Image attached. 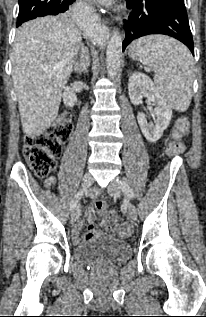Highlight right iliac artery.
Instances as JSON below:
<instances>
[{
    "label": "right iliac artery",
    "instance_id": "right-iliac-artery-1",
    "mask_svg": "<svg viewBox=\"0 0 206 317\" xmlns=\"http://www.w3.org/2000/svg\"><path fill=\"white\" fill-rule=\"evenodd\" d=\"M86 190L85 189H82V190H79L76 195L74 196V199L72 200L71 202V205H70V209L71 211H74L76 206H77V203L79 202V200L83 197L84 195V192Z\"/></svg>",
    "mask_w": 206,
    "mask_h": 317
}]
</instances>
